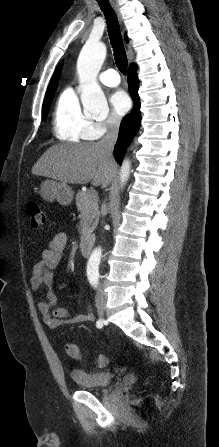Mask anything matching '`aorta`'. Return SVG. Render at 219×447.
<instances>
[{
    "instance_id": "1",
    "label": "aorta",
    "mask_w": 219,
    "mask_h": 447,
    "mask_svg": "<svg viewBox=\"0 0 219 447\" xmlns=\"http://www.w3.org/2000/svg\"><path fill=\"white\" fill-rule=\"evenodd\" d=\"M106 56V46L102 42L87 41L80 51L77 60V72L82 83L81 102L85 112L98 116L108 112L107 100L96 82V77ZM130 161L124 160L121 165L120 179L122 184L128 180ZM101 250L95 249L90 260H99ZM94 279V276H90Z\"/></svg>"
}]
</instances>
